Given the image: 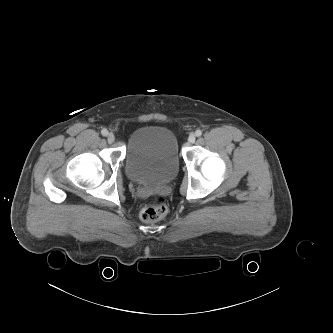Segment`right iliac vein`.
<instances>
[{
  "instance_id": "1",
  "label": "right iliac vein",
  "mask_w": 333,
  "mask_h": 333,
  "mask_svg": "<svg viewBox=\"0 0 333 333\" xmlns=\"http://www.w3.org/2000/svg\"><path fill=\"white\" fill-rule=\"evenodd\" d=\"M107 140L109 143H113L115 141V136L112 133L107 135Z\"/></svg>"
}]
</instances>
